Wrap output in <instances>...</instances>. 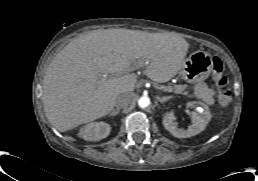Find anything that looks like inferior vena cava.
<instances>
[{"instance_id":"inferior-vena-cava-1","label":"inferior vena cava","mask_w":258,"mask_h":181,"mask_svg":"<svg viewBox=\"0 0 258 181\" xmlns=\"http://www.w3.org/2000/svg\"><path fill=\"white\" fill-rule=\"evenodd\" d=\"M131 98L132 95L130 93H123L116 98L114 106L117 109L124 108L130 103Z\"/></svg>"}]
</instances>
